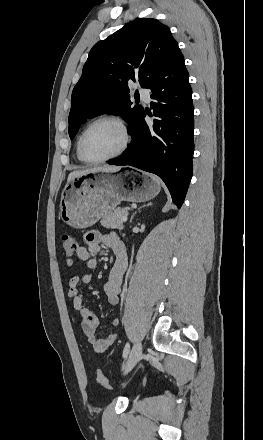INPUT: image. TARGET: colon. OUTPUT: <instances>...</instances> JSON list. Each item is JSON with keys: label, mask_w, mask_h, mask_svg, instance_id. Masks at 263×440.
<instances>
[{"label": "colon", "mask_w": 263, "mask_h": 440, "mask_svg": "<svg viewBox=\"0 0 263 440\" xmlns=\"http://www.w3.org/2000/svg\"><path fill=\"white\" fill-rule=\"evenodd\" d=\"M77 247H78L77 240L72 235L65 233L61 236L62 252L66 256L69 262H71L73 256L75 255L77 251ZM96 381L101 387L105 389L112 388V384L104 376L103 372L100 370H98L96 373Z\"/></svg>", "instance_id": "colon-1"}]
</instances>
